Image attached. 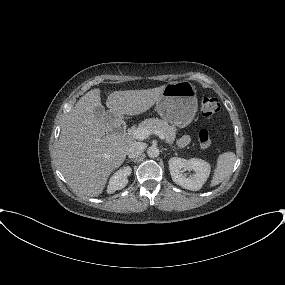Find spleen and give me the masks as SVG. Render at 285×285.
I'll return each mask as SVG.
<instances>
[{
	"instance_id": "1",
	"label": "spleen",
	"mask_w": 285,
	"mask_h": 285,
	"mask_svg": "<svg viewBox=\"0 0 285 285\" xmlns=\"http://www.w3.org/2000/svg\"><path fill=\"white\" fill-rule=\"evenodd\" d=\"M235 161L236 155L233 152H225L220 154L210 186H216L223 182L230 175Z\"/></svg>"
}]
</instances>
